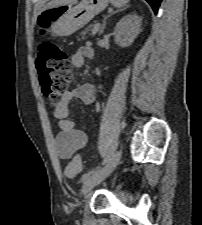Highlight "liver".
<instances>
[{"label": "liver", "mask_w": 202, "mask_h": 225, "mask_svg": "<svg viewBox=\"0 0 202 225\" xmlns=\"http://www.w3.org/2000/svg\"><path fill=\"white\" fill-rule=\"evenodd\" d=\"M75 1L76 0H51L49 3L46 4L44 9L58 7L60 5H68V4L73 3Z\"/></svg>", "instance_id": "1"}]
</instances>
